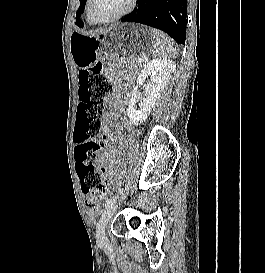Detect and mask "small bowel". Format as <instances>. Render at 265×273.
I'll return each instance as SVG.
<instances>
[{
	"label": "small bowel",
	"instance_id": "obj_1",
	"mask_svg": "<svg viewBox=\"0 0 265 273\" xmlns=\"http://www.w3.org/2000/svg\"><path fill=\"white\" fill-rule=\"evenodd\" d=\"M109 103L112 105L114 111L117 110L119 108V102L116 96H111L109 98ZM117 116V114L114 112L112 115L108 116L106 118V127L104 130V136L108 139L111 140L112 139V133H111V129L109 127V124L111 122V120L113 118H115ZM122 127L124 128H130V124L128 121L124 120L122 122ZM76 142V141H75ZM78 145V143L76 142V146ZM116 154V149L113 146H109L106 149H104L100 154H99V165L102 169V171L109 176L111 174V168H112V162H113V158L114 155ZM98 209V207H94L91 208L92 212H95Z\"/></svg>",
	"mask_w": 265,
	"mask_h": 273
}]
</instances>
